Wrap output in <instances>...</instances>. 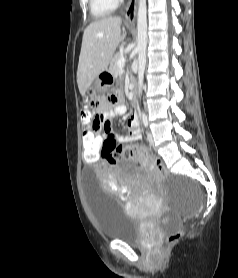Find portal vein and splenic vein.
Here are the masks:
<instances>
[{"label":"portal vein and splenic vein","mask_w":238,"mask_h":278,"mask_svg":"<svg viewBox=\"0 0 238 278\" xmlns=\"http://www.w3.org/2000/svg\"><path fill=\"white\" fill-rule=\"evenodd\" d=\"M125 62H126V59H125V58L119 59V61H118V63H117L118 68H119V69H122V68L124 67V65H125Z\"/></svg>","instance_id":"portal-vein-and-splenic-vein-1"}]
</instances>
